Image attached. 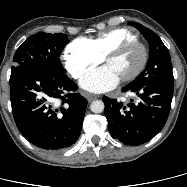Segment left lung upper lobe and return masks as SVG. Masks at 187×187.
Returning a JSON list of instances; mask_svg holds the SVG:
<instances>
[{"label": "left lung upper lobe", "instance_id": "1", "mask_svg": "<svg viewBox=\"0 0 187 187\" xmlns=\"http://www.w3.org/2000/svg\"><path fill=\"white\" fill-rule=\"evenodd\" d=\"M149 41V60L145 70L127 87H139L152 83H174L170 54L161 39L150 29L137 22H130Z\"/></svg>", "mask_w": 187, "mask_h": 187}]
</instances>
